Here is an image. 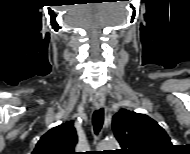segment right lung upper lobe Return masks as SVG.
I'll return each instance as SVG.
<instances>
[{
	"instance_id": "cb5924a9",
	"label": "right lung upper lobe",
	"mask_w": 190,
	"mask_h": 154,
	"mask_svg": "<svg viewBox=\"0 0 190 154\" xmlns=\"http://www.w3.org/2000/svg\"><path fill=\"white\" fill-rule=\"evenodd\" d=\"M77 141L74 122L70 121L45 133L36 144L32 154H74Z\"/></svg>"
}]
</instances>
